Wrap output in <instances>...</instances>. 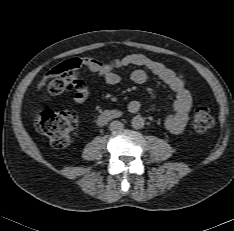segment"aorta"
Returning <instances> with one entry per match:
<instances>
[{
    "instance_id": "aorta-1",
    "label": "aorta",
    "mask_w": 234,
    "mask_h": 231,
    "mask_svg": "<svg viewBox=\"0 0 234 231\" xmlns=\"http://www.w3.org/2000/svg\"><path fill=\"white\" fill-rule=\"evenodd\" d=\"M131 124L134 129H142L144 127L145 120L142 116L136 115L132 118Z\"/></svg>"
}]
</instances>
